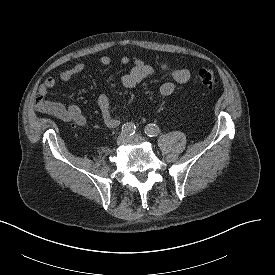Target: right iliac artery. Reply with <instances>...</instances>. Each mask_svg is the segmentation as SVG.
<instances>
[{
    "label": "right iliac artery",
    "instance_id": "obj_1",
    "mask_svg": "<svg viewBox=\"0 0 275 275\" xmlns=\"http://www.w3.org/2000/svg\"><path fill=\"white\" fill-rule=\"evenodd\" d=\"M136 131V127L132 123H125L122 126V133H126L127 135H134Z\"/></svg>",
    "mask_w": 275,
    "mask_h": 275
}]
</instances>
